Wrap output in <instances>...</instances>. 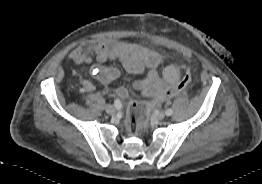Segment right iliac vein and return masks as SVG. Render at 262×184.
I'll list each match as a JSON object with an SVG mask.
<instances>
[{
    "label": "right iliac vein",
    "mask_w": 262,
    "mask_h": 184,
    "mask_svg": "<svg viewBox=\"0 0 262 184\" xmlns=\"http://www.w3.org/2000/svg\"><path fill=\"white\" fill-rule=\"evenodd\" d=\"M105 111L108 113V114H110V115H112V114H114L115 113V107L114 106H112V105H107L106 107H105Z\"/></svg>",
    "instance_id": "63e3f726"
}]
</instances>
